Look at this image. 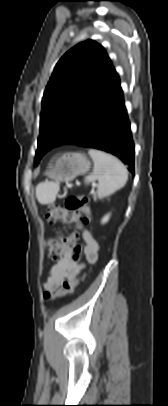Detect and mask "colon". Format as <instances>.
<instances>
[{
  "mask_svg": "<svg viewBox=\"0 0 168 406\" xmlns=\"http://www.w3.org/2000/svg\"><path fill=\"white\" fill-rule=\"evenodd\" d=\"M47 223L62 222L69 224L72 222L88 223L91 220V211L87 205V200L84 196L74 195L65 199L63 206L52 205L44 215ZM71 237H63L57 239H49L47 242L48 256L52 260L58 259L63 251L71 243ZM82 246L76 245L73 251L72 260L78 262L81 257ZM79 281L77 279L65 281L58 290H47L44 294L45 299L53 300L62 298L71 294L77 287Z\"/></svg>",
  "mask_w": 168,
  "mask_h": 406,
  "instance_id": "colon-1",
  "label": "colon"
}]
</instances>
